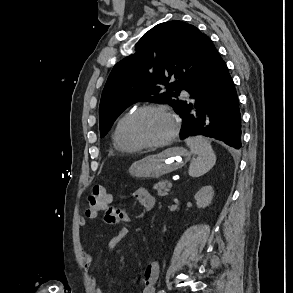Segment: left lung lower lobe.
<instances>
[{"label":"left lung lower lobe","mask_w":293,"mask_h":293,"mask_svg":"<svg viewBox=\"0 0 293 293\" xmlns=\"http://www.w3.org/2000/svg\"><path fill=\"white\" fill-rule=\"evenodd\" d=\"M182 100L181 139L195 135L241 147V115L236 89L228 68L211 42L203 74Z\"/></svg>","instance_id":"obj_1"}]
</instances>
